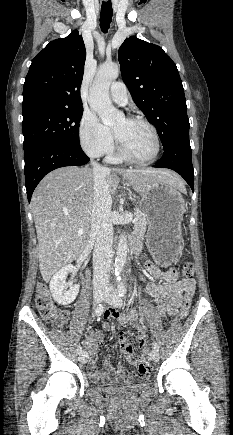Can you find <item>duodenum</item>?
<instances>
[{
    "label": "duodenum",
    "instance_id": "1",
    "mask_svg": "<svg viewBox=\"0 0 233 435\" xmlns=\"http://www.w3.org/2000/svg\"><path fill=\"white\" fill-rule=\"evenodd\" d=\"M133 250H134L135 252L138 251V249H137V247H136V244L133 245Z\"/></svg>",
    "mask_w": 233,
    "mask_h": 435
}]
</instances>
